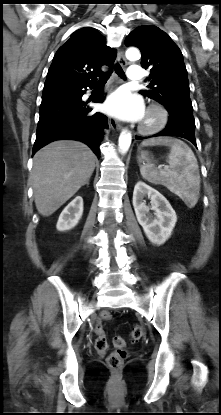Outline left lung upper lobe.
Listing matches in <instances>:
<instances>
[{
	"instance_id": "obj_1",
	"label": "left lung upper lobe",
	"mask_w": 221,
	"mask_h": 415,
	"mask_svg": "<svg viewBox=\"0 0 221 415\" xmlns=\"http://www.w3.org/2000/svg\"><path fill=\"white\" fill-rule=\"evenodd\" d=\"M125 44L138 47L142 67L150 69V84L140 94L166 108L192 107L183 55L168 34L156 26H139L126 37Z\"/></svg>"
}]
</instances>
